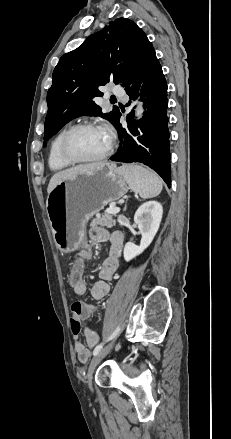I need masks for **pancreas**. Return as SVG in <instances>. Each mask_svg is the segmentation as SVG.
Instances as JSON below:
<instances>
[{
    "label": "pancreas",
    "mask_w": 231,
    "mask_h": 439,
    "mask_svg": "<svg viewBox=\"0 0 231 439\" xmlns=\"http://www.w3.org/2000/svg\"><path fill=\"white\" fill-rule=\"evenodd\" d=\"M116 225V220L113 218L112 214H104L102 217L95 218L91 221L90 226H106L112 228Z\"/></svg>",
    "instance_id": "pancreas-1"
}]
</instances>
